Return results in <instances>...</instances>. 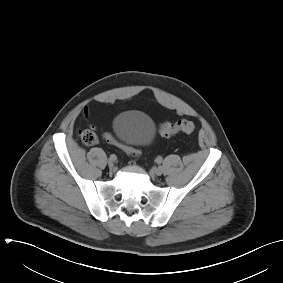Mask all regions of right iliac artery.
Returning <instances> with one entry per match:
<instances>
[{"mask_svg":"<svg viewBox=\"0 0 283 283\" xmlns=\"http://www.w3.org/2000/svg\"><path fill=\"white\" fill-rule=\"evenodd\" d=\"M116 159H117V157H116L115 154L110 155L109 160H111V161H116Z\"/></svg>","mask_w":283,"mask_h":283,"instance_id":"1","label":"right iliac artery"}]
</instances>
